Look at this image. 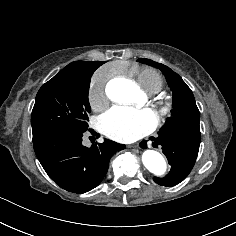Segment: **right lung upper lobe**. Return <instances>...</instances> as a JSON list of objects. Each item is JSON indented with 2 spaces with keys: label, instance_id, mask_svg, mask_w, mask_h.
Returning <instances> with one entry per match:
<instances>
[{
  "label": "right lung upper lobe",
  "instance_id": "right-lung-upper-lobe-1",
  "mask_svg": "<svg viewBox=\"0 0 236 236\" xmlns=\"http://www.w3.org/2000/svg\"><path fill=\"white\" fill-rule=\"evenodd\" d=\"M104 62H91V61H75L64 67L60 74H80L86 72H94Z\"/></svg>",
  "mask_w": 236,
  "mask_h": 236
}]
</instances>
